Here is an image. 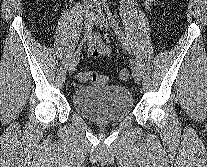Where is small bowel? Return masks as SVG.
Returning <instances> with one entry per match:
<instances>
[{"mask_svg": "<svg viewBox=\"0 0 207 167\" xmlns=\"http://www.w3.org/2000/svg\"><path fill=\"white\" fill-rule=\"evenodd\" d=\"M155 0H144V5L148 9ZM88 56L94 59H103L110 54V46L103 43L97 34H94L88 43Z\"/></svg>", "mask_w": 207, "mask_h": 167, "instance_id": "1", "label": "small bowel"}]
</instances>
